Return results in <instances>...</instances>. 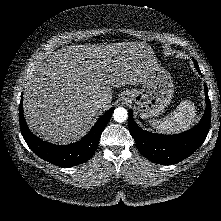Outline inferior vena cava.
<instances>
[{"label": "inferior vena cava", "instance_id": "inferior-vena-cava-1", "mask_svg": "<svg viewBox=\"0 0 221 221\" xmlns=\"http://www.w3.org/2000/svg\"><path fill=\"white\" fill-rule=\"evenodd\" d=\"M104 106V100L103 99H99L97 101H95L94 103V107L99 109L102 108Z\"/></svg>", "mask_w": 221, "mask_h": 221}]
</instances>
